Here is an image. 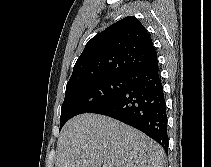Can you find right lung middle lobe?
<instances>
[{"mask_svg": "<svg viewBox=\"0 0 211 167\" xmlns=\"http://www.w3.org/2000/svg\"><path fill=\"white\" fill-rule=\"evenodd\" d=\"M126 87V76H108L66 89L60 130L70 118L86 112L93 113L114 100Z\"/></svg>", "mask_w": 211, "mask_h": 167, "instance_id": "obj_1", "label": "right lung middle lobe"}]
</instances>
